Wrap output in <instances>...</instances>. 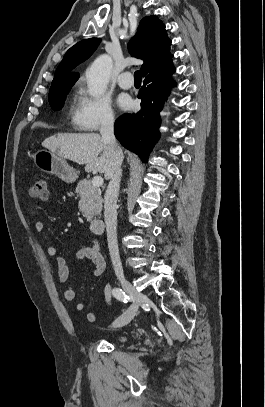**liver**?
<instances>
[{
	"label": "liver",
	"instance_id": "6515ba94",
	"mask_svg": "<svg viewBox=\"0 0 265 407\" xmlns=\"http://www.w3.org/2000/svg\"><path fill=\"white\" fill-rule=\"evenodd\" d=\"M42 146L64 159L85 164L88 172L104 173L105 179L114 171V150L97 133H60L46 138Z\"/></svg>",
	"mask_w": 265,
	"mask_h": 407
}]
</instances>
